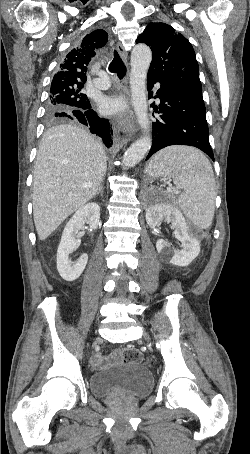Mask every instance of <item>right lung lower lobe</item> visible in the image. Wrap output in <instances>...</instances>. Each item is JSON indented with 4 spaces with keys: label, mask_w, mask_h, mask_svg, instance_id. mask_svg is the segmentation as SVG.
I'll return each instance as SVG.
<instances>
[{
    "label": "right lung lower lobe",
    "mask_w": 250,
    "mask_h": 454,
    "mask_svg": "<svg viewBox=\"0 0 250 454\" xmlns=\"http://www.w3.org/2000/svg\"><path fill=\"white\" fill-rule=\"evenodd\" d=\"M91 108L90 103L80 108H75L71 112H60V117L73 119L89 127L90 132L98 135L103 143L109 148L112 143L113 131L107 119L100 118Z\"/></svg>",
    "instance_id": "1"
}]
</instances>
